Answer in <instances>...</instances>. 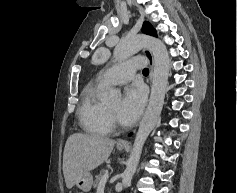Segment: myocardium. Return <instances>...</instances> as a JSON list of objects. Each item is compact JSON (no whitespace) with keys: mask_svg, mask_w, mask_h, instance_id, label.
Wrapping results in <instances>:
<instances>
[{"mask_svg":"<svg viewBox=\"0 0 237 193\" xmlns=\"http://www.w3.org/2000/svg\"><path fill=\"white\" fill-rule=\"evenodd\" d=\"M106 115H107L108 123L111 126V128H113V127H120L121 126L120 121L117 119V117L114 114H112L108 110V108H106Z\"/></svg>","mask_w":237,"mask_h":193,"instance_id":"f54148a6","label":"myocardium"}]
</instances>
